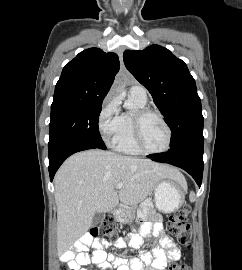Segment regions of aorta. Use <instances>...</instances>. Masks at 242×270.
Returning a JSON list of instances; mask_svg holds the SVG:
<instances>
[{
    "instance_id": "aorta-1",
    "label": "aorta",
    "mask_w": 242,
    "mask_h": 270,
    "mask_svg": "<svg viewBox=\"0 0 242 270\" xmlns=\"http://www.w3.org/2000/svg\"><path fill=\"white\" fill-rule=\"evenodd\" d=\"M126 108H128V109H129V108H131V106H130V105H126Z\"/></svg>"
}]
</instances>
